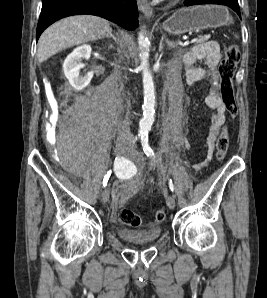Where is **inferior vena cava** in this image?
Wrapping results in <instances>:
<instances>
[{
	"mask_svg": "<svg viewBox=\"0 0 267 298\" xmlns=\"http://www.w3.org/2000/svg\"><path fill=\"white\" fill-rule=\"evenodd\" d=\"M125 131H126V132H129V128L126 127V128H125Z\"/></svg>",
	"mask_w": 267,
	"mask_h": 298,
	"instance_id": "inferior-vena-cava-1",
	"label": "inferior vena cava"
}]
</instances>
